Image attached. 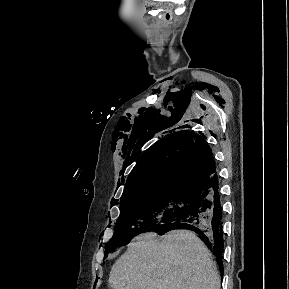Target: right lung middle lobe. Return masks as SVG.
<instances>
[{
	"label": "right lung middle lobe",
	"instance_id": "1",
	"mask_svg": "<svg viewBox=\"0 0 289 289\" xmlns=\"http://www.w3.org/2000/svg\"><path fill=\"white\" fill-rule=\"evenodd\" d=\"M197 195L174 191L138 196L120 202V216L105 253L115 251L145 231H156L182 217L195 204Z\"/></svg>",
	"mask_w": 289,
	"mask_h": 289
}]
</instances>
